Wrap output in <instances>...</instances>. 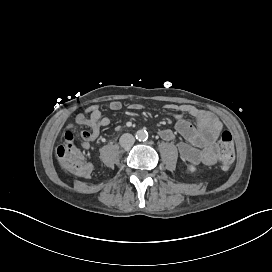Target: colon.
<instances>
[{"mask_svg":"<svg viewBox=\"0 0 272 272\" xmlns=\"http://www.w3.org/2000/svg\"><path fill=\"white\" fill-rule=\"evenodd\" d=\"M59 144L56 148V155L60 167H66L68 172H77L81 175H88L91 172V165L85 163L80 151L75 147L76 136L72 130L66 129L60 133ZM211 156L220 159L222 169L226 170L231 167L235 158V149L230 132L221 133L219 144Z\"/></svg>","mask_w":272,"mask_h":272,"instance_id":"obj_1","label":"colon"}]
</instances>
